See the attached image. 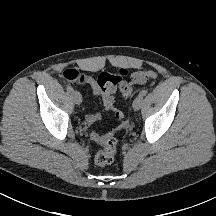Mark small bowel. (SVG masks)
<instances>
[{
    "label": "small bowel",
    "mask_w": 216,
    "mask_h": 216,
    "mask_svg": "<svg viewBox=\"0 0 216 216\" xmlns=\"http://www.w3.org/2000/svg\"><path fill=\"white\" fill-rule=\"evenodd\" d=\"M77 81L83 85L90 87L94 95L103 97L102 91L99 88L97 81L92 76L87 74H81L80 78ZM104 107L106 110H110L108 107H106L105 104ZM100 119H101V114L98 112L88 113L85 118L86 123L88 125H93L94 123L98 122ZM110 136L111 134H102L98 131H91L90 133V139L96 143H103V141Z\"/></svg>",
    "instance_id": "obj_1"
}]
</instances>
